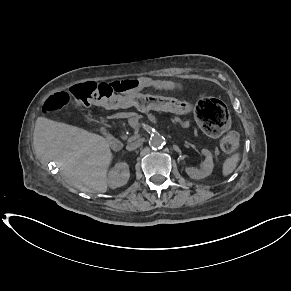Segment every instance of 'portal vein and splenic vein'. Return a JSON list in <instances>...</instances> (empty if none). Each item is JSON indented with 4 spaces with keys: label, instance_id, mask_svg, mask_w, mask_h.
Wrapping results in <instances>:
<instances>
[{
    "label": "portal vein and splenic vein",
    "instance_id": "18ae733b",
    "mask_svg": "<svg viewBox=\"0 0 291 291\" xmlns=\"http://www.w3.org/2000/svg\"><path fill=\"white\" fill-rule=\"evenodd\" d=\"M136 125H137V122L134 123V126H136Z\"/></svg>",
    "mask_w": 291,
    "mask_h": 291
}]
</instances>
